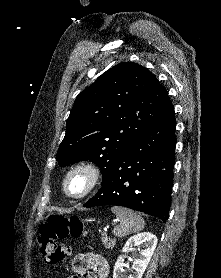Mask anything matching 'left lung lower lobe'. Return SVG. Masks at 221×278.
<instances>
[{
    "instance_id": "obj_1",
    "label": "left lung lower lobe",
    "mask_w": 221,
    "mask_h": 278,
    "mask_svg": "<svg viewBox=\"0 0 221 278\" xmlns=\"http://www.w3.org/2000/svg\"><path fill=\"white\" fill-rule=\"evenodd\" d=\"M174 108L118 156L102 187L83 206L118 205L167 220L175 163Z\"/></svg>"
}]
</instances>
